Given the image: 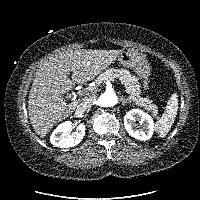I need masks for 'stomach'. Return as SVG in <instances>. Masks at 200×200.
Segmentation results:
<instances>
[{"label": "stomach", "mask_w": 200, "mask_h": 200, "mask_svg": "<svg viewBox=\"0 0 200 200\" xmlns=\"http://www.w3.org/2000/svg\"><path fill=\"white\" fill-rule=\"evenodd\" d=\"M117 60L124 67L132 69L139 78L147 79L150 74V64L144 54L134 49H123ZM139 90V85H138Z\"/></svg>", "instance_id": "obj_1"}]
</instances>
